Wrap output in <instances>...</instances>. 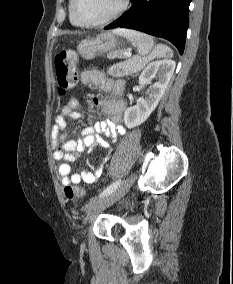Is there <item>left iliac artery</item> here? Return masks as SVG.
<instances>
[{"mask_svg": "<svg viewBox=\"0 0 233 284\" xmlns=\"http://www.w3.org/2000/svg\"><path fill=\"white\" fill-rule=\"evenodd\" d=\"M120 184H121V180L120 179L116 180L110 186H108L105 190H103V192H101L100 197L112 193L120 186Z\"/></svg>", "mask_w": 233, "mask_h": 284, "instance_id": "obj_1", "label": "left iliac artery"}]
</instances>
